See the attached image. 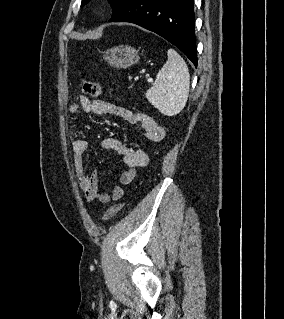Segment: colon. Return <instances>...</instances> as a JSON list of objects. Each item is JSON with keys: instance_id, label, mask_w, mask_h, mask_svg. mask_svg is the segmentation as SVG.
<instances>
[{"instance_id": "5ec220e1", "label": "colon", "mask_w": 284, "mask_h": 319, "mask_svg": "<svg viewBox=\"0 0 284 319\" xmlns=\"http://www.w3.org/2000/svg\"><path fill=\"white\" fill-rule=\"evenodd\" d=\"M81 89L84 94L91 98H98L103 94V90L101 86L93 81L90 80H83L81 82ZM122 208V204H115L108 208V210L105 212V214L102 216L103 221H107L114 215H116Z\"/></svg>"}]
</instances>
